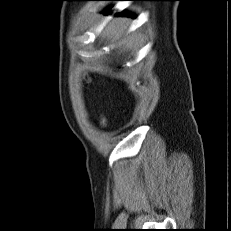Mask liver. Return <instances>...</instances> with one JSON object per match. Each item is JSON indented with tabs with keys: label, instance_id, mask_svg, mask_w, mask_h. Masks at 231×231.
<instances>
[{
	"label": "liver",
	"instance_id": "liver-1",
	"mask_svg": "<svg viewBox=\"0 0 231 231\" xmlns=\"http://www.w3.org/2000/svg\"><path fill=\"white\" fill-rule=\"evenodd\" d=\"M103 36H110L117 43L119 53L132 49L137 39L135 34L128 33V29L125 26L122 19H116L111 21L105 28Z\"/></svg>",
	"mask_w": 231,
	"mask_h": 231
}]
</instances>
